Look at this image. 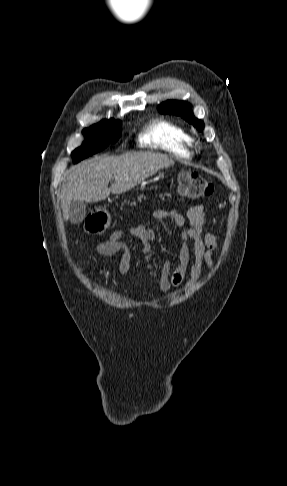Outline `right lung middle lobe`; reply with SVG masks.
Returning a JSON list of instances; mask_svg holds the SVG:
<instances>
[{"label":"right lung middle lobe","mask_w":287,"mask_h":486,"mask_svg":"<svg viewBox=\"0 0 287 486\" xmlns=\"http://www.w3.org/2000/svg\"><path fill=\"white\" fill-rule=\"evenodd\" d=\"M121 126V121L110 119L84 129L83 134L86 140L81 147L72 152L73 162L77 163L103 150L109 143H115L121 135Z\"/></svg>","instance_id":"right-lung-middle-lobe-1"}]
</instances>
